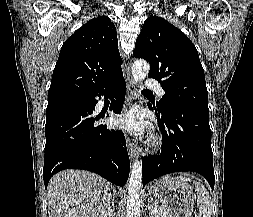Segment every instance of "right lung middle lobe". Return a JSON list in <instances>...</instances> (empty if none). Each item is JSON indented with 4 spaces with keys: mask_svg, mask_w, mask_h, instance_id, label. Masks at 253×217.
Returning a JSON list of instances; mask_svg holds the SVG:
<instances>
[{
    "mask_svg": "<svg viewBox=\"0 0 253 217\" xmlns=\"http://www.w3.org/2000/svg\"><path fill=\"white\" fill-rule=\"evenodd\" d=\"M77 99H79V98L70 99V100H64V101H58V102H51V103H48L47 108L55 107V106L60 105L62 103L69 102V101H74V100H77Z\"/></svg>",
    "mask_w": 253,
    "mask_h": 217,
    "instance_id": "1",
    "label": "right lung middle lobe"
}]
</instances>
